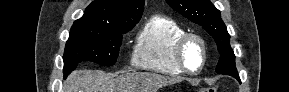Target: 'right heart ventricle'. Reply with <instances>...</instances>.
Segmentation results:
<instances>
[{
	"instance_id": "right-heart-ventricle-1",
	"label": "right heart ventricle",
	"mask_w": 289,
	"mask_h": 92,
	"mask_svg": "<svg viewBox=\"0 0 289 92\" xmlns=\"http://www.w3.org/2000/svg\"><path fill=\"white\" fill-rule=\"evenodd\" d=\"M184 33V27L177 21L163 15L152 16L137 36L133 64L170 76L183 74L175 57V46Z\"/></svg>"
}]
</instances>
